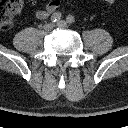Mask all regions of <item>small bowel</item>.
Returning a JSON list of instances; mask_svg holds the SVG:
<instances>
[{"label": "small bowel", "mask_w": 128, "mask_h": 128, "mask_svg": "<svg viewBox=\"0 0 128 128\" xmlns=\"http://www.w3.org/2000/svg\"><path fill=\"white\" fill-rule=\"evenodd\" d=\"M29 3H35V0H28ZM60 6V0H50L45 6L36 11V17L40 20L46 19L54 13Z\"/></svg>", "instance_id": "1"}]
</instances>
